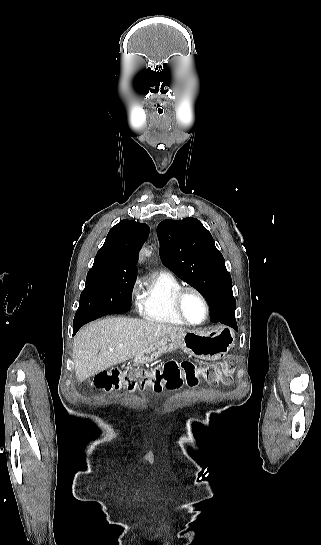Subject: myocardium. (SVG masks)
<instances>
[{
  "mask_svg": "<svg viewBox=\"0 0 321 545\" xmlns=\"http://www.w3.org/2000/svg\"><path fill=\"white\" fill-rule=\"evenodd\" d=\"M186 292H194L195 294H197L199 296V298L201 299L203 305H204L205 314H204L203 319L201 321H199V322L194 323V322L189 321L184 316V314H183V312L181 310V301H182V298H183V296H184V294ZM171 309H172V313L176 317V319L178 321H180L183 325L188 326V327L202 326L203 324L206 323V321L208 320V318L210 316V305H209V302H208L206 296L204 295V293L200 289H198L197 287H194V286H182V287L178 288L172 295Z\"/></svg>",
  "mask_w": 321,
  "mask_h": 545,
  "instance_id": "obj_1",
  "label": "myocardium"
}]
</instances>
